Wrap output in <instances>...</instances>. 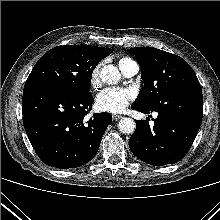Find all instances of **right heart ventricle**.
I'll return each instance as SVG.
<instances>
[{
	"mask_svg": "<svg viewBox=\"0 0 220 220\" xmlns=\"http://www.w3.org/2000/svg\"><path fill=\"white\" fill-rule=\"evenodd\" d=\"M130 62H132V60L129 59V58H126V57L121 58L119 60V67H120V69L123 70Z\"/></svg>",
	"mask_w": 220,
	"mask_h": 220,
	"instance_id": "1",
	"label": "right heart ventricle"
}]
</instances>
